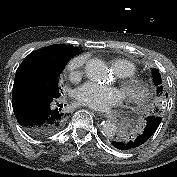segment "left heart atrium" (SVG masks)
I'll list each match as a JSON object with an SVG mask.
<instances>
[{"instance_id":"39dd6f15","label":"left heart atrium","mask_w":177,"mask_h":177,"mask_svg":"<svg viewBox=\"0 0 177 177\" xmlns=\"http://www.w3.org/2000/svg\"><path fill=\"white\" fill-rule=\"evenodd\" d=\"M75 97L84 106L98 111H107L121 104L124 94L116 87L87 82L76 90Z\"/></svg>"}]
</instances>
